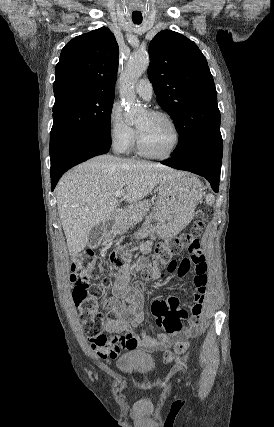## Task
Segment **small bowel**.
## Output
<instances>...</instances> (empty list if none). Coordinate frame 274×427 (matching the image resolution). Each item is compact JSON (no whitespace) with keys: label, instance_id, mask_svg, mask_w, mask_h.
Returning a JSON list of instances; mask_svg holds the SVG:
<instances>
[{"label":"small bowel","instance_id":"c3829d8e","mask_svg":"<svg viewBox=\"0 0 274 427\" xmlns=\"http://www.w3.org/2000/svg\"><path fill=\"white\" fill-rule=\"evenodd\" d=\"M151 241H146L141 246L142 255L136 257L132 262L127 261L117 266V272L114 276L111 291L102 294L98 299L100 306L105 314L104 328L107 332H115L120 336L109 337L101 334L96 337H90L91 349L94 354L102 360L115 359L121 351H140L144 353L161 350L162 345L176 344L179 338L195 336L199 330V324L203 313V303L206 293L208 266L203 254V246L196 244L191 247L190 257H185L177 264H168L162 274L158 270L151 272V279L155 282L165 278H179L188 271L195 273L194 285L195 292L192 295V301L189 306L190 324L186 330L181 333V327H186L188 321L184 310L186 304L181 301L179 293H170L169 299H153V311L151 313L153 327H160L165 333H157L154 336L148 335L144 330L136 334L134 329L138 327L144 319L145 300L143 296L129 286L131 275L147 266L144 254L150 250ZM123 254L126 256L125 249L120 248L112 254ZM163 275V276H162ZM93 277L97 282L101 275H93L91 267L83 269L79 278L82 282L88 284L89 279ZM99 286V284H97Z\"/></svg>","mask_w":274,"mask_h":427}]
</instances>
